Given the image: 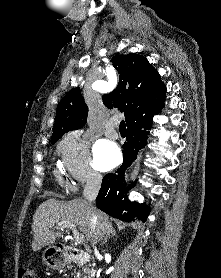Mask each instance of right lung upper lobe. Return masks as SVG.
Segmentation results:
<instances>
[{
  "label": "right lung upper lobe",
  "mask_w": 221,
  "mask_h": 278,
  "mask_svg": "<svg viewBox=\"0 0 221 278\" xmlns=\"http://www.w3.org/2000/svg\"><path fill=\"white\" fill-rule=\"evenodd\" d=\"M111 61L120 79L116 89L103 96L104 105L125 112L127 126L159 112L164 106L166 87L147 59L130 53L114 56ZM87 114L79 88L69 91L57 106L52 143L64 133L83 127Z\"/></svg>",
  "instance_id": "obj_1"
}]
</instances>
